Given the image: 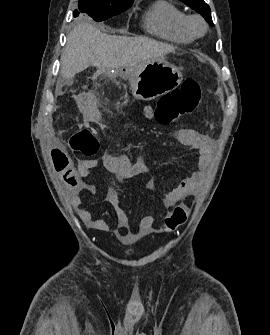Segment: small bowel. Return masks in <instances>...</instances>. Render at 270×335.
I'll return each instance as SVG.
<instances>
[{"instance_id":"1","label":"small bowel","mask_w":270,"mask_h":335,"mask_svg":"<svg viewBox=\"0 0 270 335\" xmlns=\"http://www.w3.org/2000/svg\"><path fill=\"white\" fill-rule=\"evenodd\" d=\"M125 134H128L130 126L127 121L122 122ZM185 134V132H181ZM188 145L198 151V170L187 176L175 189L165 193L162 196V203L166 208H171L175 204L186 200L194 194L206 176V169L210 161L213 140L207 135L200 133L190 134ZM47 150L52 154L46 155V160L51 161L54 166V173H58L59 178H64L72 195V206L76 210L79 218L90 229L108 232L111 230V224L102 218H94L92 213L82 208L80 193L89 188L84 182L90 170L96 166L95 159H85L77 161L73 154H61L59 144H48ZM103 162L108 171L116 176L118 180H127L135 176L146 174L149 171L148 165L143 160L131 161L129 157L123 153L103 155ZM146 186L150 190H155L156 185L153 179L146 182ZM106 201L111 205L116 215V230L118 236L127 234L130 230V221L126 211L121 206L120 194L114 188H108L106 192ZM155 218L152 215L143 217L139 222V230L146 232L153 226Z\"/></svg>"}]
</instances>
